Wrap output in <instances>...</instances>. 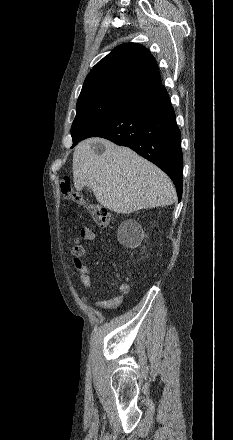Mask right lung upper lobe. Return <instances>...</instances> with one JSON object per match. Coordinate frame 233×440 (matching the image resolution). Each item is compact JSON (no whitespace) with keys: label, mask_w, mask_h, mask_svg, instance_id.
<instances>
[{"label":"right lung upper lobe","mask_w":233,"mask_h":440,"mask_svg":"<svg viewBox=\"0 0 233 440\" xmlns=\"http://www.w3.org/2000/svg\"><path fill=\"white\" fill-rule=\"evenodd\" d=\"M162 85L155 58L142 45L116 47L87 75L78 102L111 99L128 102Z\"/></svg>","instance_id":"cb5924a9"}]
</instances>
